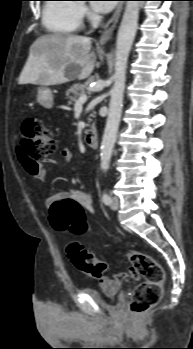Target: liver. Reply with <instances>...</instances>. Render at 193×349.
I'll list each match as a JSON object with an SVG mask.
<instances>
[{"mask_svg":"<svg viewBox=\"0 0 193 349\" xmlns=\"http://www.w3.org/2000/svg\"><path fill=\"white\" fill-rule=\"evenodd\" d=\"M79 67L78 79L91 75L96 56L91 52V39L70 34H47L31 45L28 59L19 76V84L58 85L69 80L68 66Z\"/></svg>","mask_w":193,"mask_h":349,"instance_id":"obj_1","label":"liver"}]
</instances>
